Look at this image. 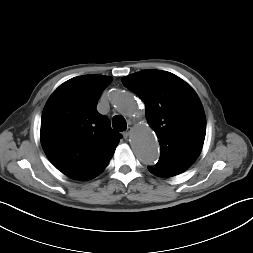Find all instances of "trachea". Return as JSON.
I'll list each match as a JSON object with an SVG mask.
<instances>
[{
	"label": "trachea",
	"mask_w": 253,
	"mask_h": 253,
	"mask_svg": "<svg viewBox=\"0 0 253 253\" xmlns=\"http://www.w3.org/2000/svg\"><path fill=\"white\" fill-rule=\"evenodd\" d=\"M113 129L116 131H124L127 128L126 120L121 115H116L112 121Z\"/></svg>",
	"instance_id": "trachea-1"
}]
</instances>
